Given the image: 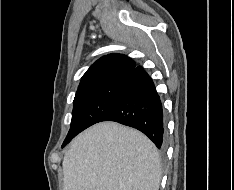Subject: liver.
Instances as JSON below:
<instances>
[{"label": "liver", "instance_id": "liver-1", "mask_svg": "<svg viewBox=\"0 0 234 190\" xmlns=\"http://www.w3.org/2000/svg\"><path fill=\"white\" fill-rule=\"evenodd\" d=\"M63 190H159L162 171L155 145L115 122L80 133L63 159Z\"/></svg>", "mask_w": 234, "mask_h": 190}]
</instances>
